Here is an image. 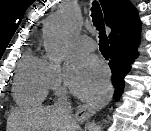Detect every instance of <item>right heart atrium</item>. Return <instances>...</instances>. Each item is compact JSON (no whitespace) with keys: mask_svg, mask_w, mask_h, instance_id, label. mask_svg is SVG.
Segmentation results:
<instances>
[{"mask_svg":"<svg viewBox=\"0 0 151 131\" xmlns=\"http://www.w3.org/2000/svg\"><path fill=\"white\" fill-rule=\"evenodd\" d=\"M48 87L54 92L63 90V70L58 63L47 62Z\"/></svg>","mask_w":151,"mask_h":131,"instance_id":"1","label":"right heart atrium"}]
</instances>
